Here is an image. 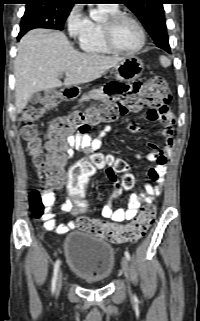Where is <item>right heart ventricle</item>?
<instances>
[{"instance_id":"obj_1","label":"right heart ventricle","mask_w":200,"mask_h":321,"mask_svg":"<svg viewBox=\"0 0 200 321\" xmlns=\"http://www.w3.org/2000/svg\"><path fill=\"white\" fill-rule=\"evenodd\" d=\"M108 15L118 12V7L101 6ZM79 47L86 53L107 55L113 52L106 46L102 35V23L89 20L88 28L78 37Z\"/></svg>"}]
</instances>
